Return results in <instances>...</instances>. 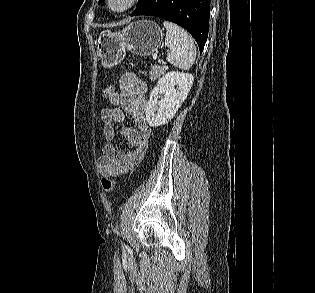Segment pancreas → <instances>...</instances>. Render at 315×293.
<instances>
[{
	"mask_svg": "<svg viewBox=\"0 0 315 293\" xmlns=\"http://www.w3.org/2000/svg\"><path fill=\"white\" fill-rule=\"evenodd\" d=\"M167 70V67L165 66H159V65H152L151 66V70H150V79L152 81L156 80L157 78H159L162 74L165 73V71Z\"/></svg>",
	"mask_w": 315,
	"mask_h": 293,
	"instance_id": "pancreas-1",
	"label": "pancreas"
}]
</instances>
